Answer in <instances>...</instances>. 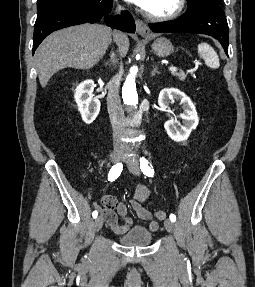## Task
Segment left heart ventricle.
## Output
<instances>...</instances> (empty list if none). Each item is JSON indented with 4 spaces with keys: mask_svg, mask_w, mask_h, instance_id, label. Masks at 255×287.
Segmentation results:
<instances>
[{
    "mask_svg": "<svg viewBox=\"0 0 255 287\" xmlns=\"http://www.w3.org/2000/svg\"><path fill=\"white\" fill-rule=\"evenodd\" d=\"M150 33H164V32H150ZM151 39H160V38H151ZM138 48H147V47H138ZM152 48H169V47H152Z\"/></svg>",
    "mask_w": 255,
    "mask_h": 287,
    "instance_id": "obj_1",
    "label": "left heart ventricle"
}]
</instances>
